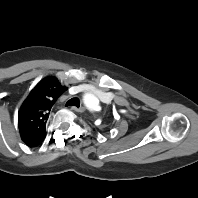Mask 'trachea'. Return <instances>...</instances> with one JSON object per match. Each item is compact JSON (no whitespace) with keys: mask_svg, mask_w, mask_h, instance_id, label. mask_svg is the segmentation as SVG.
<instances>
[{"mask_svg":"<svg viewBox=\"0 0 198 198\" xmlns=\"http://www.w3.org/2000/svg\"><path fill=\"white\" fill-rule=\"evenodd\" d=\"M80 105V101L78 98H72L70 100H68V102L66 103V106H76L79 107Z\"/></svg>","mask_w":198,"mask_h":198,"instance_id":"3493384b","label":"trachea"}]
</instances>
